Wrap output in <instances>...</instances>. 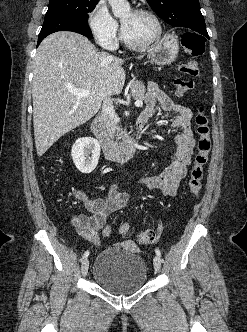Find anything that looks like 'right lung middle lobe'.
<instances>
[{
  "label": "right lung middle lobe",
  "mask_w": 247,
  "mask_h": 332,
  "mask_svg": "<svg viewBox=\"0 0 247 332\" xmlns=\"http://www.w3.org/2000/svg\"><path fill=\"white\" fill-rule=\"evenodd\" d=\"M98 0H49L45 19L67 17L88 22V13L94 10Z\"/></svg>",
  "instance_id": "1"
}]
</instances>
